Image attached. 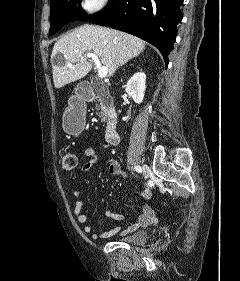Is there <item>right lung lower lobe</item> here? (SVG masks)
Here are the masks:
<instances>
[{
    "mask_svg": "<svg viewBox=\"0 0 240 281\" xmlns=\"http://www.w3.org/2000/svg\"><path fill=\"white\" fill-rule=\"evenodd\" d=\"M184 0H118L111 10L92 21L110 26L153 44L163 55L166 66L173 50L177 25L182 20Z\"/></svg>",
    "mask_w": 240,
    "mask_h": 281,
    "instance_id": "1",
    "label": "right lung lower lobe"
}]
</instances>
